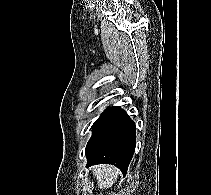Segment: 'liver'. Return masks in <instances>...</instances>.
I'll return each mask as SVG.
<instances>
[{
	"label": "liver",
	"instance_id": "1",
	"mask_svg": "<svg viewBox=\"0 0 211 195\" xmlns=\"http://www.w3.org/2000/svg\"><path fill=\"white\" fill-rule=\"evenodd\" d=\"M93 174L97 178V184L100 189L112 187L117 181L120 171L112 165H97L91 168Z\"/></svg>",
	"mask_w": 211,
	"mask_h": 195
}]
</instances>
